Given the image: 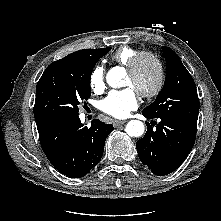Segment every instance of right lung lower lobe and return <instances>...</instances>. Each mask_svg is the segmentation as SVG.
Returning a JSON list of instances; mask_svg holds the SVG:
<instances>
[{"label": "right lung lower lobe", "instance_id": "obj_1", "mask_svg": "<svg viewBox=\"0 0 221 221\" xmlns=\"http://www.w3.org/2000/svg\"><path fill=\"white\" fill-rule=\"evenodd\" d=\"M41 147L51 164L62 174L81 178L100 161L111 124L94 119L91 127L79 117L37 125Z\"/></svg>", "mask_w": 221, "mask_h": 221}]
</instances>
